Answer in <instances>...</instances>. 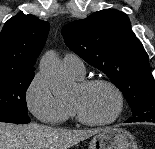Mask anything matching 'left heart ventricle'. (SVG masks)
<instances>
[{
	"instance_id": "b2bd125f",
	"label": "left heart ventricle",
	"mask_w": 155,
	"mask_h": 149,
	"mask_svg": "<svg viewBox=\"0 0 155 149\" xmlns=\"http://www.w3.org/2000/svg\"><path fill=\"white\" fill-rule=\"evenodd\" d=\"M70 102L76 104L87 118L94 121L111 118L117 108L114 92L103 85H96L88 89H82L77 85Z\"/></svg>"
}]
</instances>
